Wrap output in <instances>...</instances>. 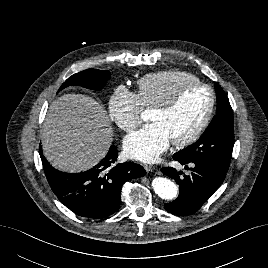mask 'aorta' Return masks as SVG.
Masks as SVG:
<instances>
[{"label": "aorta", "mask_w": 268, "mask_h": 268, "mask_svg": "<svg viewBox=\"0 0 268 268\" xmlns=\"http://www.w3.org/2000/svg\"><path fill=\"white\" fill-rule=\"evenodd\" d=\"M155 193L162 199L172 200L177 196L178 187L165 177H156L152 181Z\"/></svg>", "instance_id": "762f6f07"}]
</instances>
